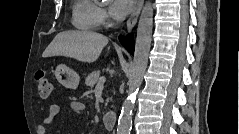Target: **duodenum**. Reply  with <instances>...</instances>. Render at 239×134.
Segmentation results:
<instances>
[{"mask_svg": "<svg viewBox=\"0 0 239 134\" xmlns=\"http://www.w3.org/2000/svg\"><path fill=\"white\" fill-rule=\"evenodd\" d=\"M116 119H117V117H116L115 112L114 111H108L104 114L102 120H103L104 126L107 129L111 130V129L114 128V126L116 124Z\"/></svg>", "mask_w": 239, "mask_h": 134, "instance_id": "obj_1", "label": "duodenum"}]
</instances>
